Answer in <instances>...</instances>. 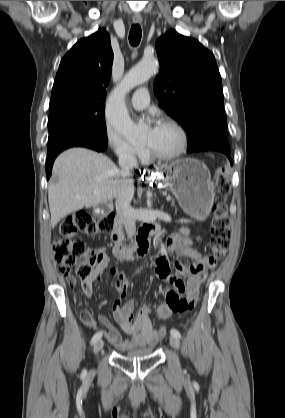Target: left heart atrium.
<instances>
[{
  "mask_svg": "<svg viewBox=\"0 0 285 418\" xmlns=\"http://www.w3.org/2000/svg\"><path fill=\"white\" fill-rule=\"evenodd\" d=\"M160 126H161V124H160V122L159 121H157V120H154L153 121V126H152V131L153 132H155V131H157L159 128H160Z\"/></svg>",
  "mask_w": 285,
  "mask_h": 418,
  "instance_id": "left-heart-atrium-1",
  "label": "left heart atrium"
}]
</instances>
